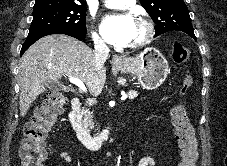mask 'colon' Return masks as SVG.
I'll return each mask as SVG.
<instances>
[{
	"label": "colon",
	"instance_id": "5ec220e1",
	"mask_svg": "<svg viewBox=\"0 0 227 166\" xmlns=\"http://www.w3.org/2000/svg\"><path fill=\"white\" fill-rule=\"evenodd\" d=\"M173 58L176 63H186L189 59L188 49L176 42L173 47ZM193 84V76L183 77L180 93L186 94ZM67 99L60 92H52L43 104L35 111L31 120L24 126V138L19 150L22 166H44L46 158L45 140L48 132L63 113ZM174 133L180 148L179 166H195L198 156L194 128L190 123L184 105L176 104L171 109Z\"/></svg>",
	"mask_w": 227,
	"mask_h": 166
}]
</instances>
